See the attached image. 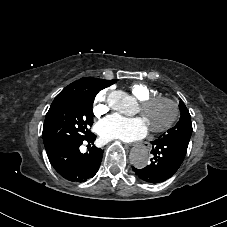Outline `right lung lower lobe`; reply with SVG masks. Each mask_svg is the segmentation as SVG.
<instances>
[{
  "label": "right lung lower lobe",
  "instance_id": "right-lung-lower-lobe-1",
  "mask_svg": "<svg viewBox=\"0 0 227 227\" xmlns=\"http://www.w3.org/2000/svg\"><path fill=\"white\" fill-rule=\"evenodd\" d=\"M96 136L88 133L84 138L64 142L47 150L51 165L65 179L84 182L95 176L102 161L103 151L93 147L88 153L82 154L79 150L84 143L92 144Z\"/></svg>",
  "mask_w": 227,
  "mask_h": 227
}]
</instances>
